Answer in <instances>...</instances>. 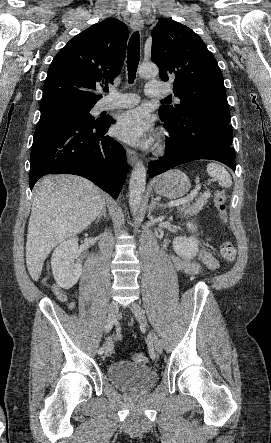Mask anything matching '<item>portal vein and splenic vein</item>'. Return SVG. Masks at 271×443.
Returning <instances> with one entry per match:
<instances>
[{
	"instance_id": "portal-vein-and-splenic-vein-1",
	"label": "portal vein and splenic vein",
	"mask_w": 271,
	"mask_h": 443,
	"mask_svg": "<svg viewBox=\"0 0 271 443\" xmlns=\"http://www.w3.org/2000/svg\"><path fill=\"white\" fill-rule=\"evenodd\" d=\"M198 192L199 189L197 187L190 189V191H188L187 193V198H182V200H175V202H169V208H172V206H180V204H188V202H191V200L196 199Z\"/></svg>"
}]
</instances>
